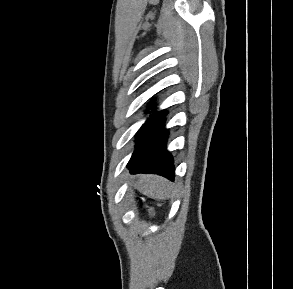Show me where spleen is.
Masks as SVG:
<instances>
[{
    "label": "spleen",
    "mask_w": 293,
    "mask_h": 289,
    "mask_svg": "<svg viewBox=\"0 0 293 289\" xmlns=\"http://www.w3.org/2000/svg\"><path fill=\"white\" fill-rule=\"evenodd\" d=\"M135 186L143 194L153 199L165 200L173 194L172 184L158 176H141Z\"/></svg>",
    "instance_id": "3e777b00"
}]
</instances>
